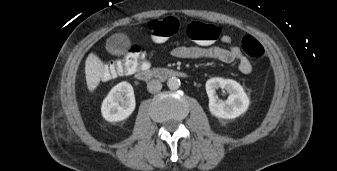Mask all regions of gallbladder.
<instances>
[{
    "instance_id": "bac80fb5",
    "label": "gallbladder",
    "mask_w": 337,
    "mask_h": 171,
    "mask_svg": "<svg viewBox=\"0 0 337 171\" xmlns=\"http://www.w3.org/2000/svg\"><path fill=\"white\" fill-rule=\"evenodd\" d=\"M128 39L120 34L111 36L106 43L107 49L113 54H122L128 46Z\"/></svg>"
}]
</instances>
